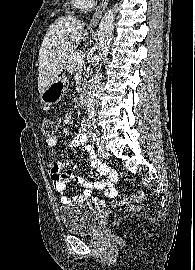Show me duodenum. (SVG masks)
<instances>
[{"instance_id":"duodenum-1","label":"duodenum","mask_w":195,"mask_h":270,"mask_svg":"<svg viewBox=\"0 0 195 270\" xmlns=\"http://www.w3.org/2000/svg\"><path fill=\"white\" fill-rule=\"evenodd\" d=\"M87 102H88V92L85 91V92L82 94L81 98H80V104H81L82 106H86V105H87Z\"/></svg>"}]
</instances>
